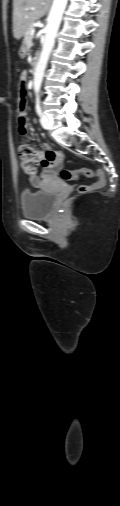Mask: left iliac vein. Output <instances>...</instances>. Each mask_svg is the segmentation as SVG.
Here are the masks:
<instances>
[{"label":"left iliac vein","instance_id":"1","mask_svg":"<svg viewBox=\"0 0 120 506\" xmlns=\"http://www.w3.org/2000/svg\"><path fill=\"white\" fill-rule=\"evenodd\" d=\"M40 121H41V125H42L43 128H45V129L49 128V126H50V119H49L48 116L42 115Z\"/></svg>","mask_w":120,"mask_h":506}]
</instances>
